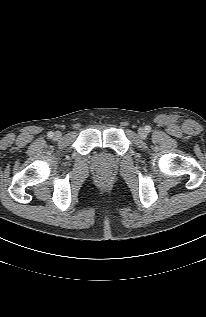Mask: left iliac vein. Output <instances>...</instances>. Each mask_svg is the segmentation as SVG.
<instances>
[{
  "label": "left iliac vein",
  "mask_w": 206,
  "mask_h": 317,
  "mask_svg": "<svg viewBox=\"0 0 206 317\" xmlns=\"http://www.w3.org/2000/svg\"><path fill=\"white\" fill-rule=\"evenodd\" d=\"M147 133H146V130L144 128H140L139 129V136L144 138L146 137Z\"/></svg>",
  "instance_id": "4c4485c4"
}]
</instances>
